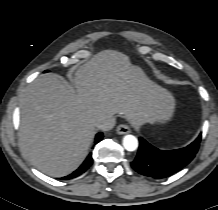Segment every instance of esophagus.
I'll return each instance as SVG.
<instances>
[{
	"label": "esophagus",
	"instance_id": "34e87169",
	"mask_svg": "<svg viewBox=\"0 0 218 210\" xmlns=\"http://www.w3.org/2000/svg\"><path fill=\"white\" fill-rule=\"evenodd\" d=\"M117 133L118 134H128L131 132V129L128 125L126 124H120L118 127H117Z\"/></svg>",
	"mask_w": 218,
	"mask_h": 210
}]
</instances>
